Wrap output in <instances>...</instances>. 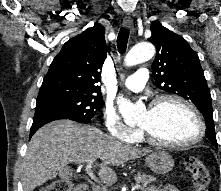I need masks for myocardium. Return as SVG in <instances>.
Listing matches in <instances>:
<instances>
[{
  "label": "myocardium",
  "mask_w": 221,
  "mask_h": 191,
  "mask_svg": "<svg viewBox=\"0 0 221 191\" xmlns=\"http://www.w3.org/2000/svg\"><path fill=\"white\" fill-rule=\"evenodd\" d=\"M168 101H175L181 104L182 106H184L186 109H188L191 112V114L194 116L197 122L198 126L197 135L193 139L183 143H171L156 138L151 132L140 127V131L143 134L146 141L153 146L160 148H167V149H185L199 143L205 136V130H206L205 123L198 109L185 98L175 94L160 95L156 99H154L153 102L150 104L149 110H154L164 102Z\"/></svg>",
  "instance_id": "1"
}]
</instances>
